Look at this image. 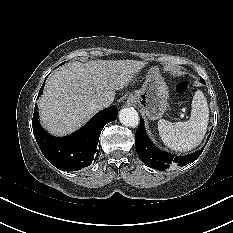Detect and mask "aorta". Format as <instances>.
<instances>
[{"label":"aorta","mask_w":233,"mask_h":233,"mask_svg":"<svg viewBox=\"0 0 233 233\" xmlns=\"http://www.w3.org/2000/svg\"><path fill=\"white\" fill-rule=\"evenodd\" d=\"M119 120L123 125L135 128L139 124V115L134 108H123L119 112Z\"/></svg>","instance_id":"aorta-1"}]
</instances>
